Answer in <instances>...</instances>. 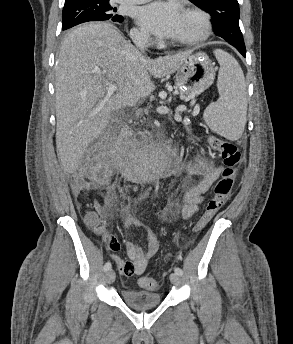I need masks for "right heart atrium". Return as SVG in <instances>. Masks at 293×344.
Here are the masks:
<instances>
[{"label": "right heart atrium", "mask_w": 293, "mask_h": 344, "mask_svg": "<svg viewBox=\"0 0 293 344\" xmlns=\"http://www.w3.org/2000/svg\"><path fill=\"white\" fill-rule=\"evenodd\" d=\"M131 36L137 42L148 43L151 41L150 36L146 32L139 30V29H133L131 32Z\"/></svg>", "instance_id": "obj_1"}]
</instances>
